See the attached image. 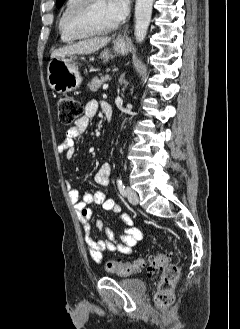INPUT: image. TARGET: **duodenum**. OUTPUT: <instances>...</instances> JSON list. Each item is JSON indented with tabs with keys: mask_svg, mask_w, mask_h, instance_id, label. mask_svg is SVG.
Returning a JSON list of instances; mask_svg holds the SVG:
<instances>
[{
	"mask_svg": "<svg viewBox=\"0 0 240 329\" xmlns=\"http://www.w3.org/2000/svg\"><path fill=\"white\" fill-rule=\"evenodd\" d=\"M102 110L105 114V117L108 121L112 120L113 117V109L112 106L108 102H103L102 103Z\"/></svg>",
	"mask_w": 240,
	"mask_h": 329,
	"instance_id": "duodenum-1",
	"label": "duodenum"
}]
</instances>
